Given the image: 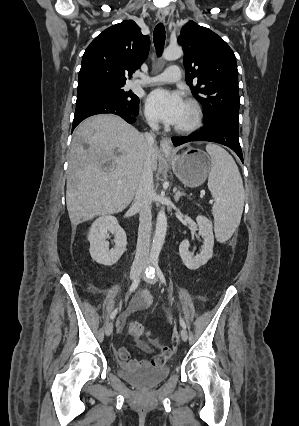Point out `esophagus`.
Returning <instances> with one entry per match:
<instances>
[{
  "mask_svg": "<svg viewBox=\"0 0 299 426\" xmlns=\"http://www.w3.org/2000/svg\"><path fill=\"white\" fill-rule=\"evenodd\" d=\"M157 18L160 22L165 21V14L164 12L160 11L157 13ZM160 149L164 155H172L173 149L170 139L168 138H162L160 141Z\"/></svg>",
  "mask_w": 299,
  "mask_h": 426,
  "instance_id": "esophagus-1",
  "label": "esophagus"
}]
</instances>
